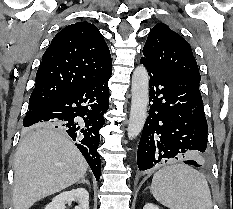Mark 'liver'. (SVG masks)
Segmentation results:
<instances>
[{
    "mask_svg": "<svg viewBox=\"0 0 233 209\" xmlns=\"http://www.w3.org/2000/svg\"><path fill=\"white\" fill-rule=\"evenodd\" d=\"M88 164L67 134L48 126L29 132L14 161V209H29L37 201L79 182Z\"/></svg>",
    "mask_w": 233,
    "mask_h": 209,
    "instance_id": "obj_1",
    "label": "liver"
}]
</instances>
